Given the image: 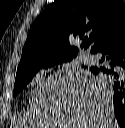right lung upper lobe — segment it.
Returning <instances> with one entry per match:
<instances>
[{
	"mask_svg": "<svg viewBox=\"0 0 125 128\" xmlns=\"http://www.w3.org/2000/svg\"><path fill=\"white\" fill-rule=\"evenodd\" d=\"M123 27L122 0H56L33 23L17 71L40 61L76 57L78 48L70 46L69 38H84L81 48L91 46L92 51Z\"/></svg>",
	"mask_w": 125,
	"mask_h": 128,
	"instance_id": "cb5924a9",
	"label": "right lung upper lobe"
}]
</instances>
